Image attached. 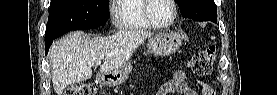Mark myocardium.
Segmentation results:
<instances>
[{
	"instance_id": "1",
	"label": "myocardium",
	"mask_w": 277,
	"mask_h": 95,
	"mask_svg": "<svg viewBox=\"0 0 277 95\" xmlns=\"http://www.w3.org/2000/svg\"><path fill=\"white\" fill-rule=\"evenodd\" d=\"M154 0H147V3L145 5V17L148 20V22L155 28H168L170 27L176 20L178 10L177 6L174 0H168V2L173 6V15L171 19L166 23H159L157 22L152 15L150 14V8L152 6Z\"/></svg>"
}]
</instances>
